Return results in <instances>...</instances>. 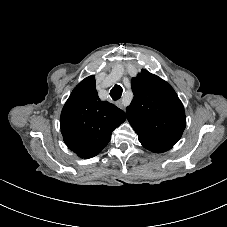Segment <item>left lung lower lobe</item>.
<instances>
[{
	"label": "left lung lower lobe",
	"mask_w": 227,
	"mask_h": 227,
	"mask_svg": "<svg viewBox=\"0 0 227 227\" xmlns=\"http://www.w3.org/2000/svg\"><path fill=\"white\" fill-rule=\"evenodd\" d=\"M140 143L148 150L156 153L165 152L173 147V144L160 139L145 130H136Z\"/></svg>",
	"instance_id": "obj_1"
}]
</instances>
